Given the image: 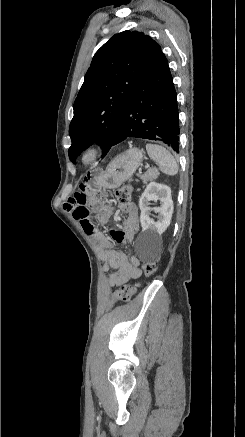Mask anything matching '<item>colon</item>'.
Masks as SVG:
<instances>
[{
    "mask_svg": "<svg viewBox=\"0 0 245 437\" xmlns=\"http://www.w3.org/2000/svg\"><path fill=\"white\" fill-rule=\"evenodd\" d=\"M133 189L131 186H123L116 192V200L120 204H126L129 203L131 199ZM158 264L154 261L146 262L142 265V271L145 277H150L153 275L157 270ZM136 288L135 287H129L125 286L122 287L120 290L114 293V298L116 300L127 302L131 299L133 294L135 293Z\"/></svg>",
    "mask_w": 245,
    "mask_h": 437,
    "instance_id": "1",
    "label": "colon"
}]
</instances>
